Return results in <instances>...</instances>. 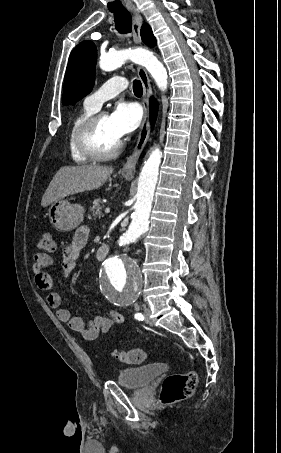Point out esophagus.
<instances>
[{"label":"esophagus","instance_id":"34e87169","mask_svg":"<svg viewBox=\"0 0 281 453\" xmlns=\"http://www.w3.org/2000/svg\"><path fill=\"white\" fill-rule=\"evenodd\" d=\"M133 13V40L136 44L141 43L140 29L142 25V17L136 9H132ZM138 76L142 82L143 87V108L144 116L141 123L139 136L137 143L133 150L132 155L127 159L126 163L122 167V173L124 175H133L135 173V166L140 154L145 147L148 138L150 136V119H149V101L152 95V87L146 70L143 67L137 68Z\"/></svg>","mask_w":281,"mask_h":453}]
</instances>
